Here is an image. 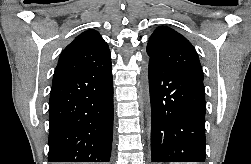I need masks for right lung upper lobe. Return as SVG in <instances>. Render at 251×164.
<instances>
[{
    "label": "right lung upper lobe",
    "instance_id": "right-lung-upper-lobe-1",
    "mask_svg": "<svg viewBox=\"0 0 251 164\" xmlns=\"http://www.w3.org/2000/svg\"><path fill=\"white\" fill-rule=\"evenodd\" d=\"M111 64L107 43L95 30L81 33L61 53L53 83L102 69Z\"/></svg>",
    "mask_w": 251,
    "mask_h": 164
}]
</instances>
